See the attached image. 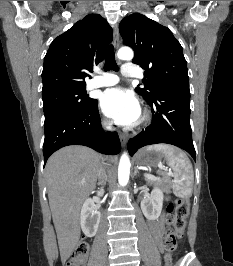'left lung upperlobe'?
I'll use <instances>...</instances> for the list:
<instances>
[{
  "label": "left lung upper lobe",
  "mask_w": 233,
  "mask_h": 266,
  "mask_svg": "<svg viewBox=\"0 0 233 266\" xmlns=\"http://www.w3.org/2000/svg\"><path fill=\"white\" fill-rule=\"evenodd\" d=\"M119 31L124 43L135 52L132 62L145 69L144 88L136 91L147 102L169 90L189 89L183 49L167 27L134 13L121 21Z\"/></svg>",
  "instance_id": "1"
}]
</instances>
